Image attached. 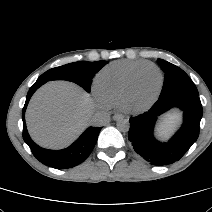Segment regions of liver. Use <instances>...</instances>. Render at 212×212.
<instances>
[{"label":"liver","mask_w":212,"mask_h":212,"mask_svg":"<svg viewBox=\"0 0 212 212\" xmlns=\"http://www.w3.org/2000/svg\"><path fill=\"white\" fill-rule=\"evenodd\" d=\"M89 95L65 81L49 82L32 97L26 121L30 135L40 145L62 148L73 142L89 125L93 113ZM176 116L166 121L174 123Z\"/></svg>","instance_id":"liver-1"}]
</instances>
